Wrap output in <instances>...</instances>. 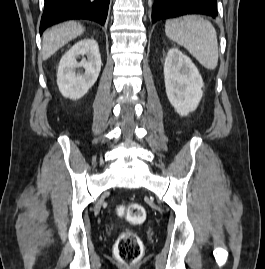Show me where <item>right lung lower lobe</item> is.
<instances>
[{"mask_svg":"<svg viewBox=\"0 0 265 269\" xmlns=\"http://www.w3.org/2000/svg\"><path fill=\"white\" fill-rule=\"evenodd\" d=\"M110 0H45L40 34L51 25L69 19H88L104 25Z\"/></svg>","mask_w":265,"mask_h":269,"instance_id":"right-lung-lower-lobe-1","label":"right lung lower lobe"}]
</instances>
